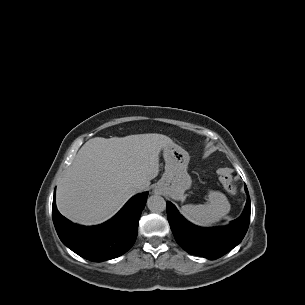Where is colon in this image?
Returning a JSON list of instances; mask_svg holds the SVG:
<instances>
[{"label":"colon","mask_w":305,"mask_h":305,"mask_svg":"<svg viewBox=\"0 0 305 305\" xmlns=\"http://www.w3.org/2000/svg\"><path fill=\"white\" fill-rule=\"evenodd\" d=\"M219 182L226 192L231 195L236 194V186L233 181L231 172H229L228 170H222L219 173Z\"/></svg>","instance_id":"obj_1"}]
</instances>
